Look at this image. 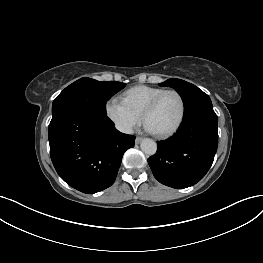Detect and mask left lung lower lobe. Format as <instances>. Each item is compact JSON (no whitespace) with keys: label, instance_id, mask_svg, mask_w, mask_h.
<instances>
[{"label":"left lung lower lobe","instance_id":"obj_1","mask_svg":"<svg viewBox=\"0 0 263 263\" xmlns=\"http://www.w3.org/2000/svg\"><path fill=\"white\" fill-rule=\"evenodd\" d=\"M218 146L217 115L203 109L183 119L177 133L158 142L148 159L155 178L172 188L199 182L211 167Z\"/></svg>","mask_w":263,"mask_h":263}]
</instances>
